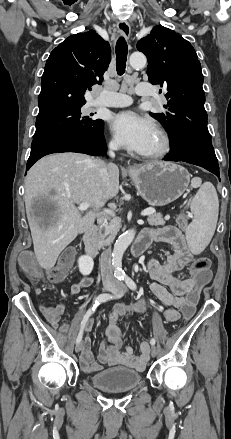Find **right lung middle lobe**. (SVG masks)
I'll return each mask as SVG.
<instances>
[{
  "instance_id": "dd1d6c3e",
  "label": "right lung middle lobe",
  "mask_w": 231,
  "mask_h": 439,
  "mask_svg": "<svg viewBox=\"0 0 231 439\" xmlns=\"http://www.w3.org/2000/svg\"><path fill=\"white\" fill-rule=\"evenodd\" d=\"M104 122L81 115V107L62 110L36 119L34 139L55 133L89 134L99 132Z\"/></svg>"
}]
</instances>
